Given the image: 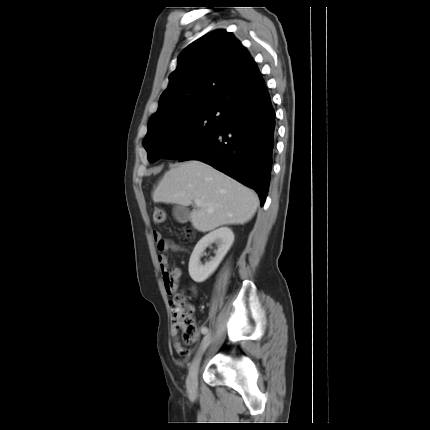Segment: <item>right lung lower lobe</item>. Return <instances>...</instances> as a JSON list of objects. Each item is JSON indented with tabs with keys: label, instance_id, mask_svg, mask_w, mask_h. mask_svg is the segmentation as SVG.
<instances>
[{
	"label": "right lung lower lobe",
	"instance_id": "right-lung-lower-lobe-1",
	"mask_svg": "<svg viewBox=\"0 0 430 430\" xmlns=\"http://www.w3.org/2000/svg\"><path fill=\"white\" fill-rule=\"evenodd\" d=\"M215 135L180 159L200 160L254 189L264 204L271 177L276 117L264 80L223 107Z\"/></svg>",
	"mask_w": 430,
	"mask_h": 430
}]
</instances>
